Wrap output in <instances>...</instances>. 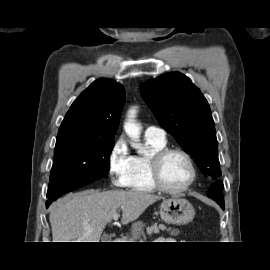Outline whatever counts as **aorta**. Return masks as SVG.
I'll list each match as a JSON object with an SVG mask.
<instances>
[{"label": "aorta", "instance_id": "1", "mask_svg": "<svg viewBox=\"0 0 270 270\" xmlns=\"http://www.w3.org/2000/svg\"><path fill=\"white\" fill-rule=\"evenodd\" d=\"M135 117L136 109L132 108L128 112V119L124 123V130L128 137L133 141L131 146L137 149L139 154H145L147 151L138 143L141 134V127L135 122Z\"/></svg>", "mask_w": 270, "mask_h": 270}]
</instances>
